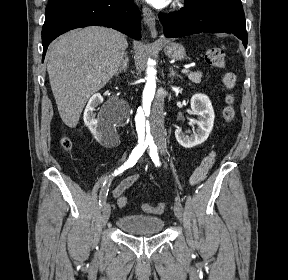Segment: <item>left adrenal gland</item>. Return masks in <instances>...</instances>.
I'll return each mask as SVG.
<instances>
[{
	"label": "left adrenal gland",
	"instance_id": "1",
	"mask_svg": "<svg viewBox=\"0 0 288 280\" xmlns=\"http://www.w3.org/2000/svg\"><path fill=\"white\" fill-rule=\"evenodd\" d=\"M169 71H170L169 77H179V78H182L180 75H178L177 72L174 71V69H173L172 67H169Z\"/></svg>",
	"mask_w": 288,
	"mask_h": 280
}]
</instances>
